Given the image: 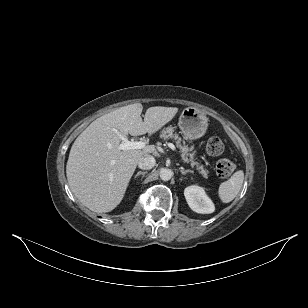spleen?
<instances>
[{
	"label": "spleen",
	"instance_id": "3e777b00",
	"mask_svg": "<svg viewBox=\"0 0 308 308\" xmlns=\"http://www.w3.org/2000/svg\"><path fill=\"white\" fill-rule=\"evenodd\" d=\"M244 181V172L236 171L229 180L221 183L218 189L219 198L223 203L231 202L240 192Z\"/></svg>",
	"mask_w": 308,
	"mask_h": 308
}]
</instances>
